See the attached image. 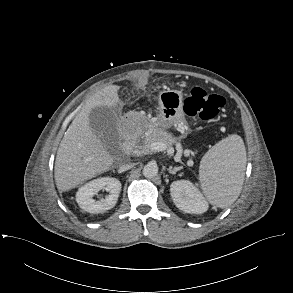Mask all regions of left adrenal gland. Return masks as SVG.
Here are the masks:
<instances>
[{
	"label": "left adrenal gland",
	"instance_id": "1",
	"mask_svg": "<svg viewBox=\"0 0 293 293\" xmlns=\"http://www.w3.org/2000/svg\"><path fill=\"white\" fill-rule=\"evenodd\" d=\"M181 169H182V166L181 167H174V168L170 167L169 168V173L170 174H176V172L181 170Z\"/></svg>",
	"mask_w": 293,
	"mask_h": 293
}]
</instances>
